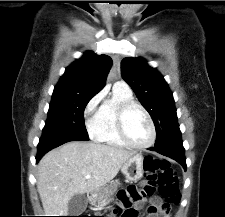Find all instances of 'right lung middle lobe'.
<instances>
[{
    "mask_svg": "<svg viewBox=\"0 0 225 217\" xmlns=\"http://www.w3.org/2000/svg\"><path fill=\"white\" fill-rule=\"evenodd\" d=\"M93 96L53 94L42 137L57 135L89 140L84 109Z\"/></svg>",
    "mask_w": 225,
    "mask_h": 217,
    "instance_id": "obj_1",
    "label": "right lung middle lobe"
}]
</instances>
